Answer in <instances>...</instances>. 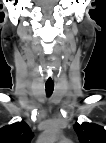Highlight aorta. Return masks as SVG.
I'll list each match as a JSON object with an SVG mask.
<instances>
[{"instance_id": "762f6f07", "label": "aorta", "mask_w": 106, "mask_h": 143, "mask_svg": "<svg viewBox=\"0 0 106 143\" xmlns=\"http://www.w3.org/2000/svg\"><path fill=\"white\" fill-rule=\"evenodd\" d=\"M56 138H57V130L55 128L47 130L44 135V141L46 142H54Z\"/></svg>"}]
</instances>
